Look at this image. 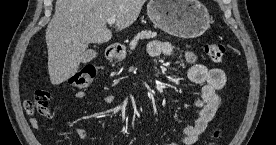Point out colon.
I'll use <instances>...</instances> for the list:
<instances>
[{
    "label": "colon",
    "instance_id": "obj_1",
    "mask_svg": "<svg viewBox=\"0 0 276 145\" xmlns=\"http://www.w3.org/2000/svg\"><path fill=\"white\" fill-rule=\"evenodd\" d=\"M206 55L215 63L222 61L226 48L222 43L211 42L204 46ZM96 76V68L93 65H85L76 71L70 78L69 84L76 88L89 87ZM50 94L42 89H37L25 102V108L30 114L46 116L49 112ZM218 136V132L215 133ZM212 144V143H211Z\"/></svg>",
    "mask_w": 276,
    "mask_h": 145
}]
</instances>
